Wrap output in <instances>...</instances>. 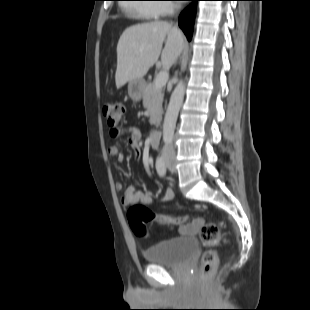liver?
<instances>
[{"mask_svg": "<svg viewBox=\"0 0 310 310\" xmlns=\"http://www.w3.org/2000/svg\"><path fill=\"white\" fill-rule=\"evenodd\" d=\"M183 47L182 33L166 21L128 27L117 44L116 87L119 89L129 81L142 79L160 55L163 69L169 70Z\"/></svg>", "mask_w": 310, "mask_h": 310, "instance_id": "1", "label": "liver"}]
</instances>
